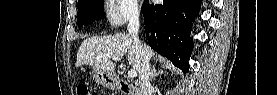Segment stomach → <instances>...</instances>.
Instances as JSON below:
<instances>
[{
  "label": "stomach",
  "mask_w": 277,
  "mask_h": 95,
  "mask_svg": "<svg viewBox=\"0 0 277 95\" xmlns=\"http://www.w3.org/2000/svg\"><path fill=\"white\" fill-rule=\"evenodd\" d=\"M93 78L102 86L105 87H114L115 79L111 73H106L100 70L93 68Z\"/></svg>",
  "instance_id": "1"
}]
</instances>
